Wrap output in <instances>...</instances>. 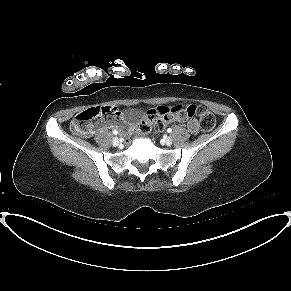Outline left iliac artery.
Here are the masks:
<instances>
[{
	"instance_id": "obj_1",
	"label": "left iliac artery",
	"mask_w": 291,
	"mask_h": 291,
	"mask_svg": "<svg viewBox=\"0 0 291 291\" xmlns=\"http://www.w3.org/2000/svg\"><path fill=\"white\" fill-rule=\"evenodd\" d=\"M167 132H168V133H171V132H172V129H171V128H168V129H167Z\"/></svg>"
}]
</instances>
